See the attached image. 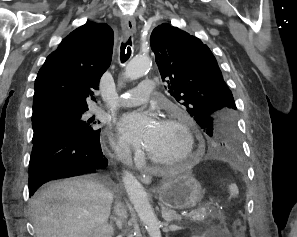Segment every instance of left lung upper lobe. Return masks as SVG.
<instances>
[{
	"label": "left lung upper lobe",
	"mask_w": 297,
	"mask_h": 237,
	"mask_svg": "<svg viewBox=\"0 0 297 237\" xmlns=\"http://www.w3.org/2000/svg\"><path fill=\"white\" fill-rule=\"evenodd\" d=\"M150 45L170 94L211 137L208 146L225 157L239 155L236 105L208 46L169 24L152 31Z\"/></svg>",
	"instance_id": "5c2ea615"
}]
</instances>
